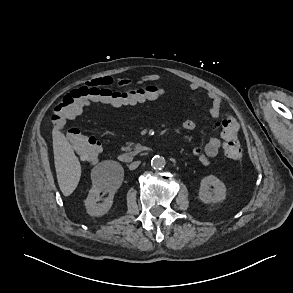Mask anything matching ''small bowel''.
Segmentation results:
<instances>
[{
	"instance_id": "small-bowel-1",
	"label": "small bowel",
	"mask_w": 293,
	"mask_h": 293,
	"mask_svg": "<svg viewBox=\"0 0 293 293\" xmlns=\"http://www.w3.org/2000/svg\"><path fill=\"white\" fill-rule=\"evenodd\" d=\"M161 79V76L158 74H149L146 75L144 77H142L138 82L139 83H147V82H155ZM96 82H102V83H112V79L108 76L105 77H101L98 79L93 80L91 83H96ZM131 83H133V81L131 79H122L120 81H118V84L120 86H128ZM148 87H152L155 89V93L152 96H148V97H144L140 100L137 101H132L129 103H124V104H111L114 107H121V106H134L146 101H152L155 100L157 98H159L160 96L163 95L164 90L162 89V87L160 86H155V85H151ZM189 88L193 91H196L200 88V86L195 83V82H191L189 83ZM207 97L211 100V106L209 108V113L212 116V118L217 119L220 116H226L227 114L223 112L222 110V100L219 97V95L213 91V90H208L207 91ZM89 104L85 105V107H87ZM84 107V108H85ZM82 112V111H81ZM198 126L197 122L194 119L191 118H187L183 121V127L187 130H194L196 129ZM217 124L214 125V129L217 128ZM221 148V140L217 137H211L204 148H200V147H195L192 150V154L193 156L198 159L203 165H208L210 163V161L215 158Z\"/></svg>"
}]
</instances>
